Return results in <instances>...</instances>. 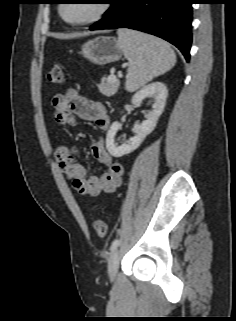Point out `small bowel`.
I'll return each mask as SVG.
<instances>
[{
	"label": "small bowel",
	"instance_id": "small-bowel-1",
	"mask_svg": "<svg viewBox=\"0 0 236 321\" xmlns=\"http://www.w3.org/2000/svg\"><path fill=\"white\" fill-rule=\"evenodd\" d=\"M53 118L65 126H75L78 119L91 121L101 131H106L110 119L101 102L91 101L81 96L75 89L66 94H58L52 98ZM92 156L106 167L101 176L88 177L86 168L74 161L76 149L63 144L56 146V158L60 169L71 180L73 189L80 195L96 196L101 193H112L121 182L123 165L107 152L102 139H97L90 146Z\"/></svg>",
	"mask_w": 236,
	"mask_h": 321
}]
</instances>
